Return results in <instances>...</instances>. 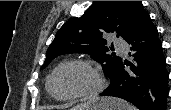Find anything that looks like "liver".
Returning a JSON list of instances; mask_svg holds the SVG:
<instances>
[{
    "mask_svg": "<svg viewBox=\"0 0 171 110\" xmlns=\"http://www.w3.org/2000/svg\"><path fill=\"white\" fill-rule=\"evenodd\" d=\"M102 102L106 106L114 105L115 104V101H109L107 99H103ZM123 106H124V102L123 103H119V107H123Z\"/></svg>",
    "mask_w": 171,
    "mask_h": 110,
    "instance_id": "obj_1",
    "label": "liver"
}]
</instances>
